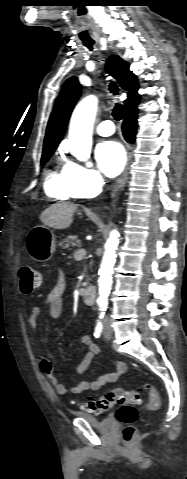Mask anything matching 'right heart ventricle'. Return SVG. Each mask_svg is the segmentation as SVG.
<instances>
[{"label":"right heart ventricle","mask_w":187,"mask_h":479,"mask_svg":"<svg viewBox=\"0 0 187 479\" xmlns=\"http://www.w3.org/2000/svg\"><path fill=\"white\" fill-rule=\"evenodd\" d=\"M44 190L49 197L61 201L77 198L64 168L61 170L53 168L48 171L44 182Z\"/></svg>","instance_id":"1"}]
</instances>
